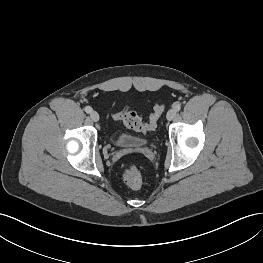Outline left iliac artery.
Masks as SVG:
<instances>
[{"instance_id": "left-iliac-artery-1", "label": "left iliac artery", "mask_w": 263, "mask_h": 263, "mask_svg": "<svg viewBox=\"0 0 263 263\" xmlns=\"http://www.w3.org/2000/svg\"><path fill=\"white\" fill-rule=\"evenodd\" d=\"M174 109H175V111H180V109H181V105L180 104H176L175 106H174Z\"/></svg>"}]
</instances>
